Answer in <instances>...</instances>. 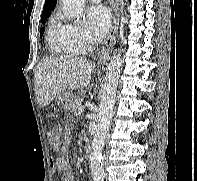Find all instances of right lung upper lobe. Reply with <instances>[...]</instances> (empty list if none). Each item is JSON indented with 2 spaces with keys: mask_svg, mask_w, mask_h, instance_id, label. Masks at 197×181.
Wrapping results in <instances>:
<instances>
[{
  "mask_svg": "<svg viewBox=\"0 0 197 181\" xmlns=\"http://www.w3.org/2000/svg\"><path fill=\"white\" fill-rule=\"evenodd\" d=\"M56 3L57 0H46L41 16L51 14V11L55 8Z\"/></svg>",
  "mask_w": 197,
  "mask_h": 181,
  "instance_id": "obj_1",
  "label": "right lung upper lobe"
}]
</instances>
